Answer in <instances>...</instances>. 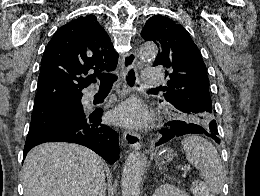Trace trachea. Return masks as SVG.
<instances>
[{"label": "trachea", "instance_id": "1", "mask_svg": "<svg viewBox=\"0 0 260 196\" xmlns=\"http://www.w3.org/2000/svg\"><path fill=\"white\" fill-rule=\"evenodd\" d=\"M98 79L100 80V86H113V83L117 80V76L113 73H99ZM135 74L131 70L126 76V81L130 86H135ZM139 86V85H138ZM161 88V87H158Z\"/></svg>", "mask_w": 260, "mask_h": 196}]
</instances>
